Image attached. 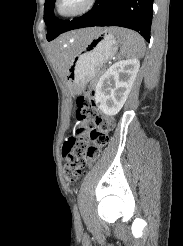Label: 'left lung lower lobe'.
Segmentation results:
<instances>
[{"instance_id":"obj_1","label":"left lung lower lobe","mask_w":183,"mask_h":246,"mask_svg":"<svg viewBox=\"0 0 183 246\" xmlns=\"http://www.w3.org/2000/svg\"><path fill=\"white\" fill-rule=\"evenodd\" d=\"M153 0H96L86 14L68 22L63 32L93 26H120L150 41Z\"/></svg>"}]
</instances>
